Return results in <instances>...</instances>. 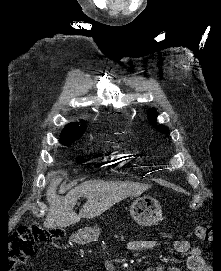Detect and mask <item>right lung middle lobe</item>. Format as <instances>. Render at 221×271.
<instances>
[{
    "mask_svg": "<svg viewBox=\"0 0 221 271\" xmlns=\"http://www.w3.org/2000/svg\"><path fill=\"white\" fill-rule=\"evenodd\" d=\"M60 142L65 145V146H68L71 142L73 141H63V140H60Z\"/></svg>",
    "mask_w": 221,
    "mask_h": 271,
    "instance_id": "obj_1",
    "label": "right lung middle lobe"
}]
</instances>
